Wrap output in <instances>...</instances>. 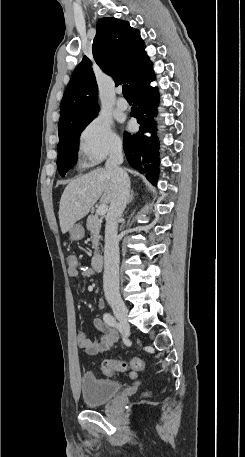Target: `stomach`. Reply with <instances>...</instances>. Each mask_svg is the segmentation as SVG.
<instances>
[{"label": "stomach", "instance_id": "stomach-1", "mask_svg": "<svg viewBox=\"0 0 245 457\" xmlns=\"http://www.w3.org/2000/svg\"><path fill=\"white\" fill-rule=\"evenodd\" d=\"M69 233L72 241H79V239H82V237H84V229L82 224H73L71 229H69Z\"/></svg>", "mask_w": 245, "mask_h": 457}]
</instances>
